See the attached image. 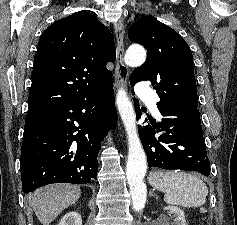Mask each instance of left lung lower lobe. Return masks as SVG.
Masks as SVG:
<instances>
[{
  "mask_svg": "<svg viewBox=\"0 0 237 225\" xmlns=\"http://www.w3.org/2000/svg\"><path fill=\"white\" fill-rule=\"evenodd\" d=\"M134 102L137 119H140L142 112L138 100ZM158 109L164 117L161 122L149 119L151 124L139 127L149 168L198 171L208 176L210 163L197 104Z\"/></svg>",
  "mask_w": 237,
  "mask_h": 225,
  "instance_id": "obj_1",
  "label": "left lung lower lobe"
}]
</instances>
